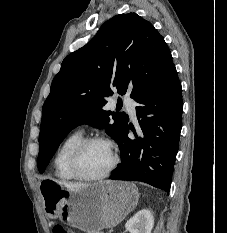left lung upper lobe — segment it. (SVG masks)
Wrapping results in <instances>:
<instances>
[{"label": "left lung upper lobe", "mask_w": 227, "mask_h": 233, "mask_svg": "<svg viewBox=\"0 0 227 233\" xmlns=\"http://www.w3.org/2000/svg\"><path fill=\"white\" fill-rule=\"evenodd\" d=\"M164 38L136 13L105 22L82 48L68 55L42 108L37 165L43 173L66 135L80 124L105 128L117 143L128 116L103 109L117 90L134 100L154 88L173 66ZM113 119L114 123L110 124Z\"/></svg>", "instance_id": "obj_1"}]
</instances>
